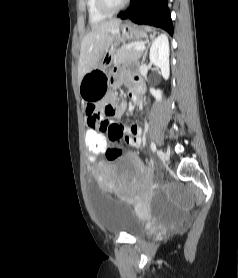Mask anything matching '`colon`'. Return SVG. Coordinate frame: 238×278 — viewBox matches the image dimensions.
Segmentation results:
<instances>
[{"mask_svg":"<svg viewBox=\"0 0 238 278\" xmlns=\"http://www.w3.org/2000/svg\"><path fill=\"white\" fill-rule=\"evenodd\" d=\"M85 148L87 156L85 162H99L101 156H105L108 160H114L123 152V143L116 140L115 144H107L105 137H99L96 130H85Z\"/></svg>","mask_w":238,"mask_h":278,"instance_id":"5ec220e1","label":"colon"}]
</instances>
